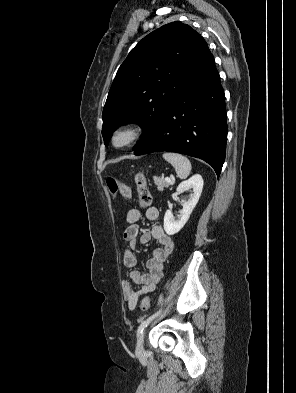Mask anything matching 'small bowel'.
<instances>
[{
    "label": "small bowel",
    "mask_w": 296,
    "mask_h": 393,
    "mask_svg": "<svg viewBox=\"0 0 296 393\" xmlns=\"http://www.w3.org/2000/svg\"><path fill=\"white\" fill-rule=\"evenodd\" d=\"M145 216L148 220L155 221L159 217V211L155 207H150L146 210ZM140 219L141 212L136 208L130 209L127 213L129 226L123 233V239L129 244V249H126L123 254V264L132 270L129 273V280H125L122 286L130 310L135 309L142 294L155 290L163 274V263L174 249L173 239L161 226L155 225L149 231H144L138 225ZM152 239L159 243V247L146 262L147 272L141 273L133 269L138 262L134 250L137 248L138 240L142 244H148ZM135 285H138V288H135Z\"/></svg>",
    "instance_id": "c3829d8e"
}]
</instances>
